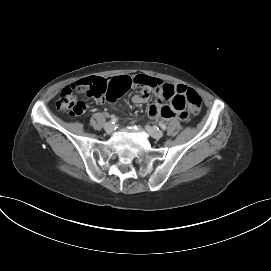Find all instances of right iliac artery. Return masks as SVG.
<instances>
[{"mask_svg":"<svg viewBox=\"0 0 271 271\" xmlns=\"http://www.w3.org/2000/svg\"><path fill=\"white\" fill-rule=\"evenodd\" d=\"M118 121V118L117 117H111V120H110V122L112 123V124H115L116 122Z\"/></svg>","mask_w":271,"mask_h":271,"instance_id":"right-iliac-artery-1","label":"right iliac artery"}]
</instances>
